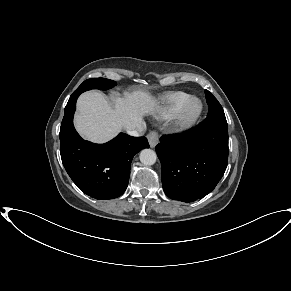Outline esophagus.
I'll return each instance as SVG.
<instances>
[{
  "mask_svg": "<svg viewBox=\"0 0 291 291\" xmlns=\"http://www.w3.org/2000/svg\"><path fill=\"white\" fill-rule=\"evenodd\" d=\"M147 138L151 148H154L159 142L158 134L155 131L150 132Z\"/></svg>",
  "mask_w": 291,
  "mask_h": 291,
  "instance_id": "esophagus-1",
  "label": "esophagus"
}]
</instances>
